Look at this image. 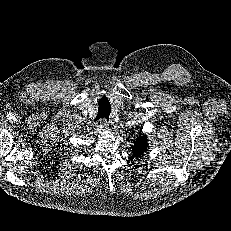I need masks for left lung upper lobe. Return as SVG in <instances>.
Instances as JSON below:
<instances>
[{"mask_svg": "<svg viewBox=\"0 0 231 231\" xmlns=\"http://www.w3.org/2000/svg\"><path fill=\"white\" fill-rule=\"evenodd\" d=\"M146 137V135H140L134 142L133 154L136 158L143 156L147 150L148 146Z\"/></svg>", "mask_w": 231, "mask_h": 231, "instance_id": "5c2ea615", "label": "left lung upper lobe"}]
</instances>
